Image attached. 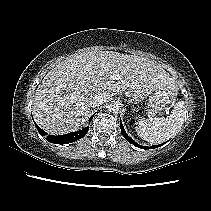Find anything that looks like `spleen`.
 <instances>
[{"label":"spleen","mask_w":211,"mask_h":211,"mask_svg":"<svg viewBox=\"0 0 211 211\" xmlns=\"http://www.w3.org/2000/svg\"><path fill=\"white\" fill-rule=\"evenodd\" d=\"M185 102L179 101L166 119L145 120L137 127L138 135L150 143H161L176 135L184 122Z\"/></svg>","instance_id":"3e777b00"}]
</instances>
